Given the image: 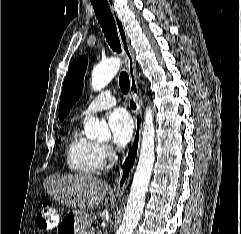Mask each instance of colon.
Returning <instances> with one entry per match:
<instances>
[{"label":"colon","mask_w":241,"mask_h":234,"mask_svg":"<svg viewBox=\"0 0 241 234\" xmlns=\"http://www.w3.org/2000/svg\"><path fill=\"white\" fill-rule=\"evenodd\" d=\"M58 216L52 203L46 202L37 215V226L42 231L53 230L58 225Z\"/></svg>","instance_id":"obj_1"}]
</instances>
